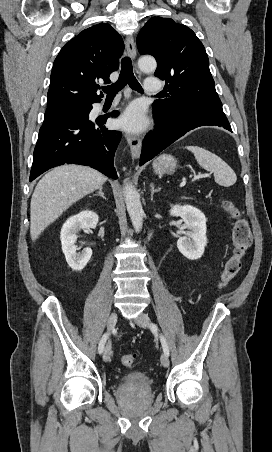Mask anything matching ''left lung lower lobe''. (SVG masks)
I'll return each mask as SVG.
<instances>
[{
	"mask_svg": "<svg viewBox=\"0 0 272 452\" xmlns=\"http://www.w3.org/2000/svg\"><path fill=\"white\" fill-rule=\"evenodd\" d=\"M153 109L156 126L153 131L147 134L143 141L140 165L153 159L174 141L197 127L215 125L232 131L223 111L197 109L181 115L171 116L156 110L154 107Z\"/></svg>",
	"mask_w": 272,
	"mask_h": 452,
	"instance_id": "obj_1",
	"label": "left lung lower lobe"
}]
</instances>
